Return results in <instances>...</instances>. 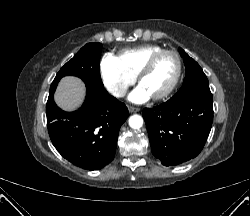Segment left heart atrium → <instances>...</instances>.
<instances>
[{
    "label": "left heart atrium",
    "mask_w": 250,
    "mask_h": 216,
    "mask_svg": "<svg viewBox=\"0 0 250 216\" xmlns=\"http://www.w3.org/2000/svg\"><path fill=\"white\" fill-rule=\"evenodd\" d=\"M128 98L131 102L140 104L148 101L151 96L142 85H139L129 94Z\"/></svg>",
    "instance_id": "1"
}]
</instances>
